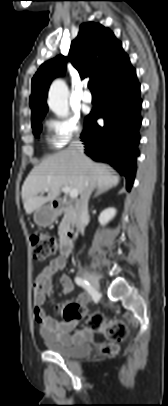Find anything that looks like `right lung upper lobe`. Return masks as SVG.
Returning <instances> with one entry per match:
<instances>
[{
    "mask_svg": "<svg viewBox=\"0 0 168 406\" xmlns=\"http://www.w3.org/2000/svg\"><path fill=\"white\" fill-rule=\"evenodd\" d=\"M69 60L81 78L90 77L96 88L113 79L130 66L128 55L111 30L99 23L87 22L72 41L69 57L62 55L43 63L32 79L30 106L32 124L43 119L48 106L46 97L51 81L63 75Z\"/></svg>",
    "mask_w": 168,
    "mask_h": 406,
    "instance_id": "1",
    "label": "right lung upper lobe"
}]
</instances>
